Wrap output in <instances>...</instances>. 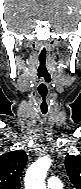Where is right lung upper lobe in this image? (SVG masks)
Listing matches in <instances>:
<instances>
[{
    "instance_id": "obj_1",
    "label": "right lung upper lobe",
    "mask_w": 81,
    "mask_h": 189,
    "mask_svg": "<svg viewBox=\"0 0 81 189\" xmlns=\"http://www.w3.org/2000/svg\"><path fill=\"white\" fill-rule=\"evenodd\" d=\"M27 160L23 150L0 156V189H20V176Z\"/></svg>"
}]
</instances>
